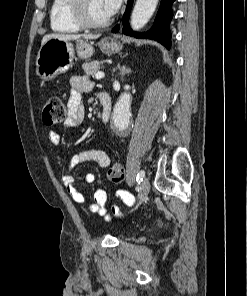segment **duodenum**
I'll use <instances>...</instances> for the list:
<instances>
[{
	"label": "duodenum",
	"instance_id": "obj_1",
	"mask_svg": "<svg viewBox=\"0 0 247 296\" xmlns=\"http://www.w3.org/2000/svg\"><path fill=\"white\" fill-rule=\"evenodd\" d=\"M99 100L102 105V121L104 124H107L110 119L111 109H112V102L110 96L105 93H99Z\"/></svg>",
	"mask_w": 247,
	"mask_h": 296
}]
</instances>
